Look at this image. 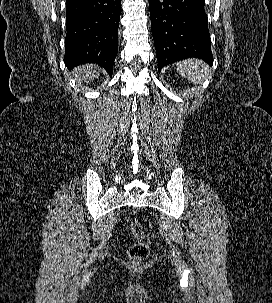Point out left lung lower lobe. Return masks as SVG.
<instances>
[{
    "label": "left lung lower lobe",
    "mask_w": 272,
    "mask_h": 303,
    "mask_svg": "<svg viewBox=\"0 0 272 303\" xmlns=\"http://www.w3.org/2000/svg\"><path fill=\"white\" fill-rule=\"evenodd\" d=\"M205 0H149L151 31L159 71L196 57L212 65Z\"/></svg>",
    "instance_id": "0a47b994"
}]
</instances>
